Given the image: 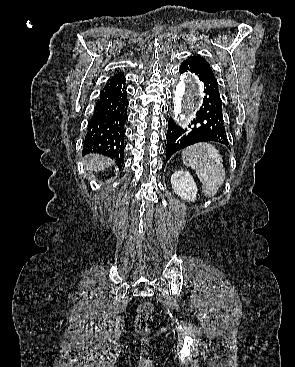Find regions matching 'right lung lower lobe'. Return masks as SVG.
Wrapping results in <instances>:
<instances>
[{
    "label": "right lung lower lobe",
    "instance_id": "right-lung-lower-lobe-1",
    "mask_svg": "<svg viewBox=\"0 0 295 367\" xmlns=\"http://www.w3.org/2000/svg\"><path fill=\"white\" fill-rule=\"evenodd\" d=\"M125 77L108 81L97 101L83 142V154L100 153L124 163V135L128 119Z\"/></svg>",
    "mask_w": 295,
    "mask_h": 367
}]
</instances>
